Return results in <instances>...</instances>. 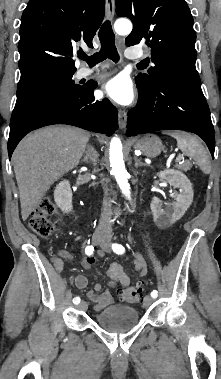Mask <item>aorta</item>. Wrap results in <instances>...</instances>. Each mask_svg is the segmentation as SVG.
<instances>
[{"mask_svg":"<svg viewBox=\"0 0 221 379\" xmlns=\"http://www.w3.org/2000/svg\"><path fill=\"white\" fill-rule=\"evenodd\" d=\"M114 28L119 35H127L132 31V23L127 19H119L115 22ZM109 160L111 172L115 176L121 191L128 199H131L128 173L123 160L122 142L117 136L112 138L110 142Z\"/></svg>","mask_w":221,"mask_h":379,"instance_id":"aorta-1","label":"aorta"}]
</instances>
